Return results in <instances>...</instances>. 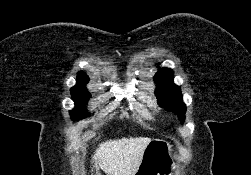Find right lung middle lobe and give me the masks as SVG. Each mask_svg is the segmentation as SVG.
I'll return each mask as SVG.
<instances>
[{"label": "right lung middle lobe", "mask_w": 251, "mask_h": 175, "mask_svg": "<svg viewBox=\"0 0 251 175\" xmlns=\"http://www.w3.org/2000/svg\"><path fill=\"white\" fill-rule=\"evenodd\" d=\"M72 98L75 102L76 109L70 111L71 118L73 120H79L85 118L90 114L84 109L89 98L91 97L90 93L86 88H72L71 89Z\"/></svg>", "instance_id": "right-lung-middle-lobe-1"}]
</instances>
